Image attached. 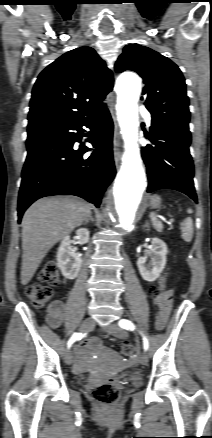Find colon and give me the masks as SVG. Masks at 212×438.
I'll return each instance as SVG.
<instances>
[{
	"label": "colon",
	"mask_w": 212,
	"mask_h": 438,
	"mask_svg": "<svg viewBox=\"0 0 212 438\" xmlns=\"http://www.w3.org/2000/svg\"><path fill=\"white\" fill-rule=\"evenodd\" d=\"M59 281V268L55 262L47 263L39 273V281L31 283L26 288V295L32 304L41 308L45 306L52 297V288ZM165 276H162L158 285L151 290L153 299L159 297L165 292ZM124 356H129L133 352V346L126 342H118L116 344ZM119 388L112 382H107L95 387L92 390V396L95 400L104 405H111L119 398Z\"/></svg>",
	"instance_id": "1"
}]
</instances>
